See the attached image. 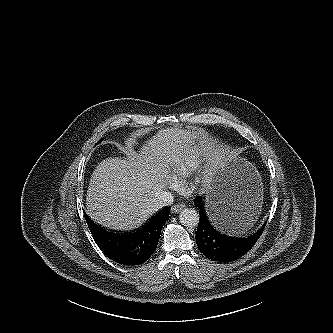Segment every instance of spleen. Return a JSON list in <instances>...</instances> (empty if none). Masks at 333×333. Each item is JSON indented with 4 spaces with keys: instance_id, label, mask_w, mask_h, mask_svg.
<instances>
[{
    "instance_id": "obj_1",
    "label": "spleen",
    "mask_w": 333,
    "mask_h": 333,
    "mask_svg": "<svg viewBox=\"0 0 333 333\" xmlns=\"http://www.w3.org/2000/svg\"><path fill=\"white\" fill-rule=\"evenodd\" d=\"M260 211L258 212L255 208L249 210L244 217L231 221L230 224H228L227 230L230 233H243L257 221Z\"/></svg>"
}]
</instances>
